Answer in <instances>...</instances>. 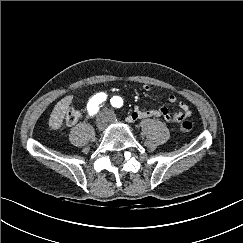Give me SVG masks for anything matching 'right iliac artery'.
I'll use <instances>...</instances> for the list:
<instances>
[{
    "label": "right iliac artery",
    "instance_id": "right-iliac-artery-1",
    "mask_svg": "<svg viewBox=\"0 0 243 243\" xmlns=\"http://www.w3.org/2000/svg\"><path fill=\"white\" fill-rule=\"evenodd\" d=\"M106 98L107 96L105 93H97L94 95L87 104L88 113L91 116L95 115L99 110V106L106 100Z\"/></svg>",
    "mask_w": 243,
    "mask_h": 243
}]
</instances>
